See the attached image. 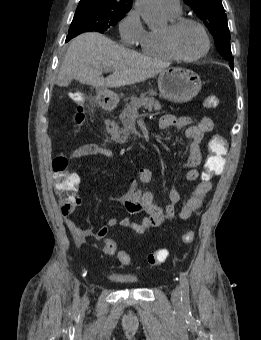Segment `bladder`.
I'll use <instances>...</instances> for the list:
<instances>
[{
    "label": "bladder",
    "mask_w": 261,
    "mask_h": 340,
    "mask_svg": "<svg viewBox=\"0 0 261 340\" xmlns=\"http://www.w3.org/2000/svg\"><path fill=\"white\" fill-rule=\"evenodd\" d=\"M110 278L112 280H115L121 283H126V284H136L139 281V279L136 276H132V275L111 274Z\"/></svg>",
    "instance_id": "bladder-1"
}]
</instances>
